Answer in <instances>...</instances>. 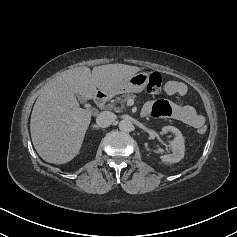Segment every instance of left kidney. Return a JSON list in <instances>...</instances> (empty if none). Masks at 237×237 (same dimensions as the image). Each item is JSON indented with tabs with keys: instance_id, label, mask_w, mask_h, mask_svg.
Returning a JSON list of instances; mask_svg holds the SVG:
<instances>
[{
	"instance_id": "5707ae66",
	"label": "left kidney",
	"mask_w": 237,
	"mask_h": 237,
	"mask_svg": "<svg viewBox=\"0 0 237 237\" xmlns=\"http://www.w3.org/2000/svg\"><path fill=\"white\" fill-rule=\"evenodd\" d=\"M170 132L174 136V140L170 141V148L172 149L171 154H166L160 156L162 162L167 163H177L184 158L185 145L184 138L179 129L174 126H164L162 128V133L166 134Z\"/></svg>"
}]
</instances>
